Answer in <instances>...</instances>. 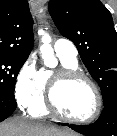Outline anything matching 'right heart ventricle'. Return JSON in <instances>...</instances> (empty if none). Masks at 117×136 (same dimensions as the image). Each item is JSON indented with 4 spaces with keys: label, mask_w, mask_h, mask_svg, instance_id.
Masks as SVG:
<instances>
[{
    "label": "right heart ventricle",
    "mask_w": 117,
    "mask_h": 136,
    "mask_svg": "<svg viewBox=\"0 0 117 136\" xmlns=\"http://www.w3.org/2000/svg\"><path fill=\"white\" fill-rule=\"evenodd\" d=\"M61 62V67L66 69H77L78 62L65 59L61 56H58ZM42 77V89L37 101L29 107L30 115L34 117H45L49 114V110L46 104L45 93L48 89L52 72L49 70H41Z\"/></svg>",
    "instance_id": "obj_1"
}]
</instances>
